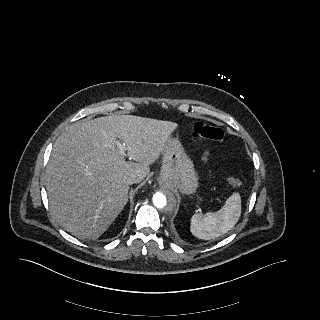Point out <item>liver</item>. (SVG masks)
<instances>
[{
  "mask_svg": "<svg viewBox=\"0 0 320 320\" xmlns=\"http://www.w3.org/2000/svg\"><path fill=\"white\" fill-rule=\"evenodd\" d=\"M177 123L134 115L78 121L53 146L45 174L56 222L80 239L99 238L128 201L129 177L141 182ZM119 139V140H117ZM125 145L126 161L115 143Z\"/></svg>",
  "mask_w": 320,
  "mask_h": 320,
  "instance_id": "liver-1",
  "label": "liver"
}]
</instances>
